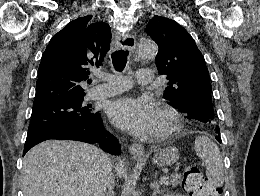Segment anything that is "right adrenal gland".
Masks as SVG:
<instances>
[{"label": "right adrenal gland", "mask_w": 260, "mask_h": 196, "mask_svg": "<svg viewBox=\"0 0 260 196\" xmlns=\"http://www.w3.org/2000/svg\"><path fill=\"white\" fill-rule=\"evenodd\" d=\"M106 196H114L113 192H109V194H106Z\"/></svg>", "instance_id": "1"}]
</instances>
